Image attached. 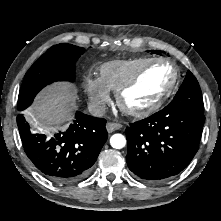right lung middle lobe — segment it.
<instances>
[{
    "mask_svg": "<svg viewBox=\"0 0 221 221\" xmlns=\"http://www.w3.org/2000/svg\"><path fill=\"white\" fill-rule=\"evenodd\" d=\"M85 52L71 44H58L48 49L26 73L18 97L19 111L31 105L36 94L55 81L73 82L75 62Z\"/></svg>",
    "mask_w": 221,
    "mask_h": 221,
    "instance_id": "right-lung-middle-lobe-1",
    "label": "right lung middle lobe"
}]
</instances>
